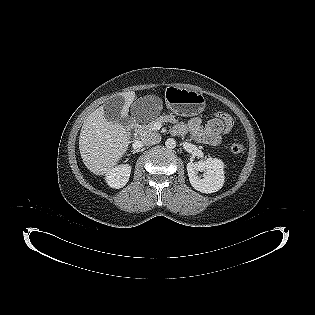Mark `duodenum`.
<instances>
[{
	"label": "duodenum",
	"instance_id": "1",
	"mask_svg": "<svg viewBox=\"0 0 315 315\" xmlns=\"http://www.w3.org/2000/svg\"><path fill=\"white\" fill-rule=\"evenodd\" d=\"M136 128H137L136 124H131V125H130V130H131L132 132H135V131H136Z\"/></svg>",
	"mask_w": 315,
	"mask_h": 315
}]
</instances>
